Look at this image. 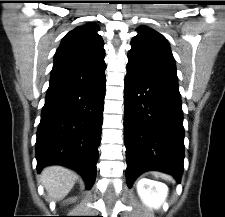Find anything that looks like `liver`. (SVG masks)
<instances>
[{"mask_svg":"<svg viewBox=\"0 0 225 217\" xmlns=\"http://www.w3.org/2000/svg\"><path fill=\"white\" fill-rule=\"evenodd\" d=\"M78 175L63 166H49L41 172V182L53 200H62L73 188Z\"/></svg>","mask_w":225,"mask_h":217,"instance_id":"6515ba94","label":"liver"}]
</instances>
